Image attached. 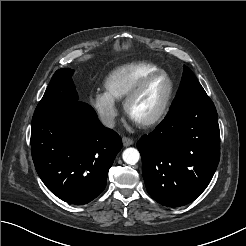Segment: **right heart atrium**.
I'll return each instance as SVG.
<instances>
[{
	"instance_id": "obj_1",
	"label": "right heart atrium",
	"mask_w": 246,
	"mask_h": 246,
	"mask_svg": "<svg viewBox=\"0 0 246 246\" xmlns=\"http://www.w3.org/2000/svg\"><path fill=\"white\" fill-rule=\"evenodd\" d=\"M92 105L102 121L112 126L118 116V109L113 100L106 91H98L92 99Z\"/></svg>"
}]
</instances>
